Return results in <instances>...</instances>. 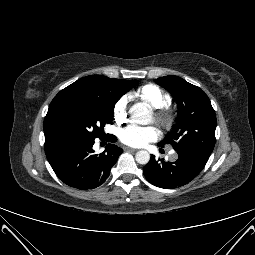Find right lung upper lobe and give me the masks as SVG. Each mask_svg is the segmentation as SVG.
Listing matches in <instances>:
<instances>
[{
    "instance_id": "obj_1",
    "label": "right lung upper lobe",
    "mask_w": 255,
    "mask_h": 255,
    "mask_svg": "<svg viewBox=\"0 0 255 255\" xmlns=\"http://www.w3.org/2000/svg\"><path fill=\"white\" fill-rule=\"evenodd\" d=\"M122 80L101 75L83 77L61 90L52 100L44 119L45 143L61 138L56 131V120L63 107L70 101L85 95L111 92Z\"/></svg>"
}]
</instances>
